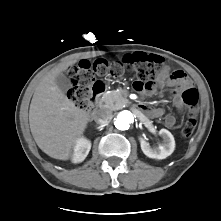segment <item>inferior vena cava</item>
Segmentation results:
<instances>
[{
    "label": "inferior vena cava",
    "mask_w": 221,
    "mask_h": 221,
    "mask_svg": "<svg viewBox=\"0 0 221 221\" xmlns=\"http://www.w3.org/2000/svg\"><path fill=\"white\" fill-rule=\"evenodd\" d=\"M112 117V112L108 109H99L94 114V121L97 124H106Z\"/></svg>",
    "instance_id": "602c4592"
}]
</instances>
